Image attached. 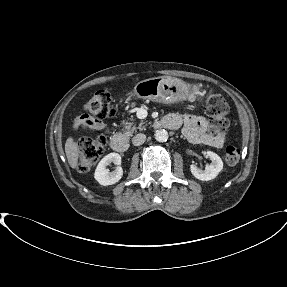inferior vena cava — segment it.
<instances>
[{"instance_id":"602c4592","label":"inferior vena cava","mask_w":287,"mask_h":287,"mask_svg":"<svg viewBox=\"0 0 287 287\" xmlns=\"http://www.w3.org/2000/svg\"><path fill=\"white\" fill-rule=\"evenodd\" d=\"M145 140H146V135L139 133L132 138V144L134 146H140L145 142Z\"/></svg>"}]
</instances>
